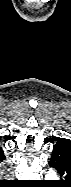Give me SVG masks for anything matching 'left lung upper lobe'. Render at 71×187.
<instances>
[{
	"label": "left lung upper lobe",
	"instance_id": "5c2ea615",
	"mask_svg": "<svg viewBox=\"0 0 71 187\" xmlns=\"http://www.w3.org/2000/svg\"><path fill=\"white\" fill-rule=\"evenodd\" d=\"M56 145L67 146V147L71 148V140H69V139H59L57 141Z\"/></svg>",
	"mask_w": 71,
	"mask_h": 187
}]
</instances>
